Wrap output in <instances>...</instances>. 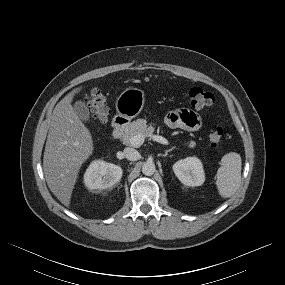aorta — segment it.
I'll return each mask as SVG.
<instances>
[{"instance_id": "aorta-1", "label": "aorta", "mask_w": 285, "mask_h": 285, "mask_svg": "<svg viewBox=\"0 0 285 285\" xmlns=\"http://www.w3.org/2000/svg\"><path fill=\"white\" fill-rule=\"evenodd\" d=\"M155 172V164L152 161H146L142 165V173L146 176H151Z\"/></svg>"}]
</instances>
